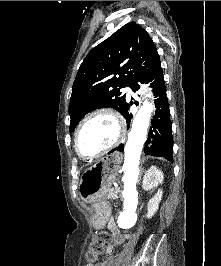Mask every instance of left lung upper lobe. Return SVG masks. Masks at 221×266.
<instances>
[{
    "instance_id": "1",
    "label": "left lung upper lobe",
    "mask_w": 221,
    "mask_h": 266,
    "mask_svg": "<svg viewBox=\"0 0 221 266\" xmlns=\"http://www.w3.org/2000/svg\"><path fill=\"white\" fill-rule=\"evenodd\" d=\"M159 63L155 44L135 22L127 23L94 47L80 65L73 83L69 131L97 108L112 107L123 114L128 103L120 89L131 86Z\"/></svg>"
}]
</instances>
